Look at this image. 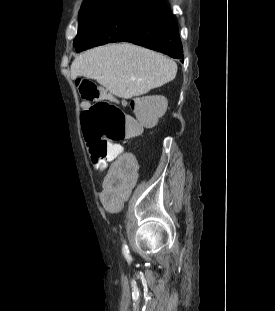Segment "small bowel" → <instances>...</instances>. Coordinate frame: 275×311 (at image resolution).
Listing matches in <instances>:
<instances>
[{
  "mask_svg": "<svg viewBox=\"0 0 275 311\" xmlns=\"http://www.w3.org/2000/svg\"><path fill=\"white\" fill-rule=\"evenodd\" d=\"M90 104L82 102L81 108L88 109ZM120 154L113 159L111 169L105 177L100 188L104 194H101V205L104 207L105 213L113 215L114 213H122L123 199L130 193L135 184V180L139 178V170L134 167H140V160H133L136 157V150H122ZM106 160H92V166L96 171H102L106 168Z\"/></svg>",
  "mask_w": 275,
  "mask_h": 311,
  "instance_id": "c3829d8e",
  "label": "small bowel"
}]
</instances>
